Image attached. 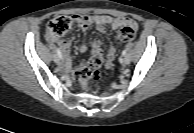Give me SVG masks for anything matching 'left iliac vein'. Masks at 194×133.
I'll list each match as a JSON object with an SVG mask.
<instances>
[{"label":"left iliac vein","mask_w":194,"mask_h":133,"mask_svg":"<svg viewBox=\"0 0 194 133\" xmlns=\"http://www.w3.org/2000/svg\"><path fill=\"white\" fill-rule=\"evenodd\" d=\"M131 59L129 56H125L123 59H122V64L123 65H128L130 63Z\"/></svg>","instance_id":"obj_1"}]
</instances>
